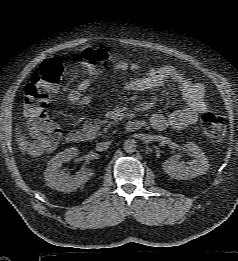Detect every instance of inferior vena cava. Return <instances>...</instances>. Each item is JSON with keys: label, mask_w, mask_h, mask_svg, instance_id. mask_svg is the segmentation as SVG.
<instances>
[{"label": "inferior vena cava", "mask_w": 238, "mask_h": 261, "mask_svg": "<svg viewBox=\"0 0 238 261\" xmlns=\"http://www.w3.org/2000/svg\"><path fill=\"white\" fill-rule=\"evenodd\" d=\"M110 146V142H100L96 144L97 151H105Z\"/></svg>", "instance_id": "obj_1"}]
</instances>
